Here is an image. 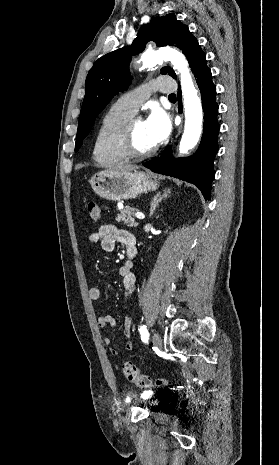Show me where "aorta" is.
<instances>
[{"mask_svg":"<svg viewBox=\"0 0 279 465\" xmlns=\"http://www.w3.org/2000/svg\"><path fill=\"white\" fill-rule=\"evenodd\" d=\"M161 60H169L173 68L180 74L182 96L184 99L185 126L179 145V152L185 154L196 146L202 132L203 112L201 100L193 85L188 62L181 53L173 49H165L145 54L142 57L144 65H151Z\"/></svg>","mask_w":279,"mask_h":465,"instance_id":"1","label":"aorta"}]
</instances>
